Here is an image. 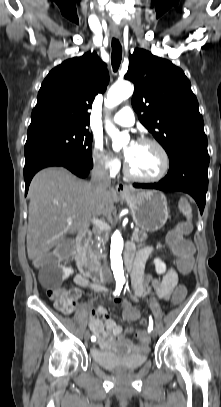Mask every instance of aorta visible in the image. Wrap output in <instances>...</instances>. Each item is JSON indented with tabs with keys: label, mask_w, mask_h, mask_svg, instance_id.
I'll return each mask as SVG.
<instances>
[{
	"label": "aorta",
	"mask_w": 221,
	"mask_h": 407,
	"mask_svg": "<svg viewBox=\"0 0 221 407\" xmlns=\"http://www.w3.org/2000/svg\"><path fill=\"white\" fill-rule=\"evenodd\" d=\"M133 92L134 87L131 83H116L108 91L105 106L108 108H113L119 105L126 98L130 97ZM106 131L112 137L113 146L115 147L119 145V132L109 121H106ZM123 246L124 242L122 235L120 231L117 230L112 235L110 249L111 269L116 281L125 280L122 261Z\"/></svg>",
	"instance_id": "1"
}]
</instances>
